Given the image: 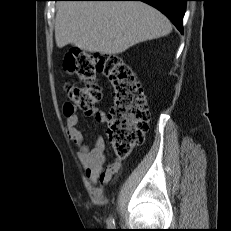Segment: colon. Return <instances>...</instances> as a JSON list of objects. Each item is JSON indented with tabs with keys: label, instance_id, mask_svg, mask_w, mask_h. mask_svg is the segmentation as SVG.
I'll use <instances>...</instances> for the list:
<instances>
[{
	"label": "colon",
	"instance_id": "obj_1",
	"mask_svg": "<svg viewBox=\"0 0 231 231\" xmlns=\"http://www.w3.org/2000/svg\"><path fill=\"white\" fill-rule=\"evenodd\" d=\"M64 67L85 83L67 86L70 102L66 106L71 110L90 111L99 103L101 90L95 83L98 73L110 82L113 100L107 119V133L117 157H126L134 146L143 142L150 121L143 88L132 68L119 56L82 51L67 53Z\"/></svg>",
	"mask_w": 231,
	"mask_h": 231
}]
</instances>
